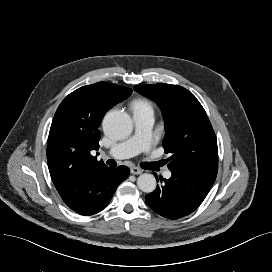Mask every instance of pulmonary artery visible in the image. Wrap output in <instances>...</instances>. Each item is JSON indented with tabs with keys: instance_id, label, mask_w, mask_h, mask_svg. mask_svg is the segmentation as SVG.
<instances>
[{
	"instance_id": "e3ab8cb5",
	"label": "pulmonary artery",
	"mask_w": 272,
	"mask_h": 272,
	"mask_svg": "<svg viewBox=\"0 0 272 272\" xmlns=\"http://www.w3.org/2000/svg\"><path fill=\"white\" fill-rule=\"evenodd\" d=\"M133 119L135 123L134 134L127 140L111 147L107 151L108 155L116 159H124L150 150L154 114L152 112H134ZM165 177L169 178L170 173L166 172Z\"/></svg>"
}]
</instances>
